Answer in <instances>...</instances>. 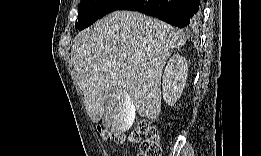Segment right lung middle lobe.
Here are the masks:
<instances>
[{"label": "right lung middle lobe", "mask_w": 261, "mask_h": 156, "mask_svg": "<svg viewBox=\"0 0 261 156\" xmlns=\"http://www.w3.org/2000/svg\"><path fill=\"white\" fill-rule=\"evenodd\" d=\"M126 0H81L75 27L83 30L102 16L117 10Z\"/></svg>", "instance_id": "right-lung-middle-lobe-1"}]
</instances>
